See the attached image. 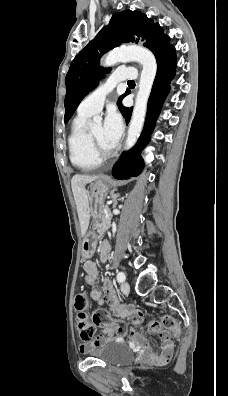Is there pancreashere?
Masks as SVG:
<instances>
[{"mask_svg":"<svg viewBox=\"0 0 228 396\" xmlns=\"http://www.w3.org/2000/svg\"><path fill=\"white\" fill-rule=\"evenodd\" d=\"M106 213H111L112 209L111 208H106L105 209ZM112 219L111 215H105L103 216V219L101 220V223L97 224V231L99 232L98 234H100L99 236L102 237L104 234V232H106V229H108V227L110 226V220ZM100 239V238H98ZM102 239V238H101Z\"/></svg>","mask_w":228,"mask_h":396,"instance_id":"cf45deb5","label":"pancreas"}]
</instances>
